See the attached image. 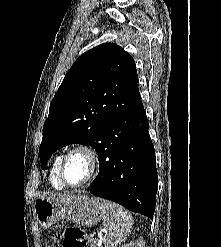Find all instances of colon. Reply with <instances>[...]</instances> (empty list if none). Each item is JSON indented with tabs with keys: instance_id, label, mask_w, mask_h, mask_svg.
Returning a JSON list of instances; mask_svg holds the SVG:
<instances>
[{
	"instance_id": "obj_1",
	"label": "colon",
	"mask_w": 221,
	"mask_h": 247,
	"mask_svg": "<svg viewBox=\"0 0 221 247\" xmlns=\"http://www.w3.org/2000/svg\"><path fill=\"white\" fill-rule=\"evenodd\" d=\"M45 247H87V241L80 227L70 226L63 234H53L45 242Z\"/></svg>"
}]
</instances>
